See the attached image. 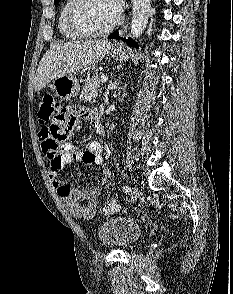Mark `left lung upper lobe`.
Listing matches in <instances>:
<instances>
[{
    "instance_id": "obj_1",
    "label": "left lung upper lobe",
    "mask_w": 233,
    "mask_h": 294,
    "mask_svg": "<svg viewBox=\"0 0 233 294\" xmlns=\"http://www.w3.org/2000/svg\"><path fill=\"white\" fill-rule=\"evenodd\" d=\"M58 2H60V0H54V3H55V4L58 3Z\"/></svg>"
}]
</instances>
